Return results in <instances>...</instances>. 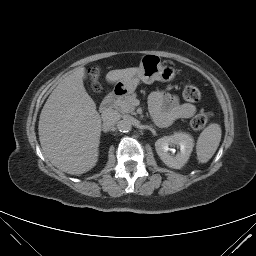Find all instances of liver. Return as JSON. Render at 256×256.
I'll list each match as a JSON object with an SVG mask.
<instances>
[{"label":"liver","mask_w":256,"mask_h":256,"mask_svg":"<svg viewBox=\"0 0 256 256\" xmlns=\"http://www.w3.org/2000/svg\"><path fill=\"white\" fill-rule=\"evenodd\" d=\"M139 68L109 71L108 82H116ZM84 67L66 75L48 97L39 118L41 147L50 162L62 171L79 175L98 161L101 118L83 84Z\"/></svg>","instance_id":"1"}]
</instances>
